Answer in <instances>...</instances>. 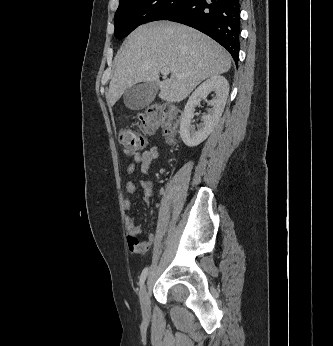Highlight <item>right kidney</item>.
Here are the masks:
<instances>
[{"label":"right kidney","instance_id":"ca27d5eb","mask_svg":"<svg viewBox=\"0 0 333 346\" xmlns=\"http://www.w3.org/2000/svg\"><path fill=\"white\" fill-rule=\"evenodd\" d=\"M210 92L215 97L208 102L211 108L207 115L202 117L203 123L197 130L192 125L195 107ZM229 94V83L225 77L215 75L204 81L189 97L180 123V137L188 147H195L202 143L217 125Z\"/></svg>","mask_w":333,"mask_h":346}]
</instances>
